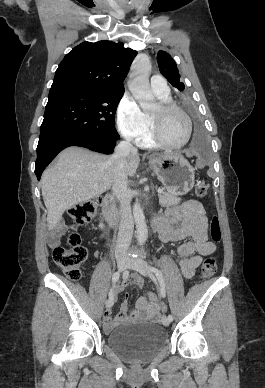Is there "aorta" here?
I'll list each match as a JSON object with an SVG mask.
<instances>
[{
	"instance_id": "obj_1",
	"label": "aorta",
	"mask_w": 265,
	"mask_h": 388,
	"mask_svg": "<svg viewBox=\"0 0 265 388\" xmlns=\"http://www.w3.org/2000/svg\"><path fill=\"white\" fill-rule=\"evenodd\" d=\"M150 70L151 63L148 56L139 54L131 67L129 89L142 109H149L154 101L149 84ZM133 216L136 225L137 241L139 244H144L148 238V230L145 216L139 202L134 203Z\"/></svg>"
}]
</instances>
